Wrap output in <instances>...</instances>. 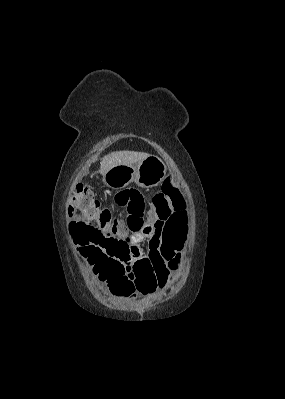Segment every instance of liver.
<instances>
[{
    "label": "liver",
    "mask_w": 285,
    "mask_h": 399,
    "mask_svg": "<svg viewBox=\"0 0 285 399\" xmlns=\"http://www.w3.org/2000/svg\"><path fill=\"white\" fill-rule=\"evenodd\" d=\"M149 154L134 151H117L104 156L100 163V173L103 176L109 169L117 165H134L140 163Z\"/></svg>",
    "instance_id": "1"
}]
</instances>
